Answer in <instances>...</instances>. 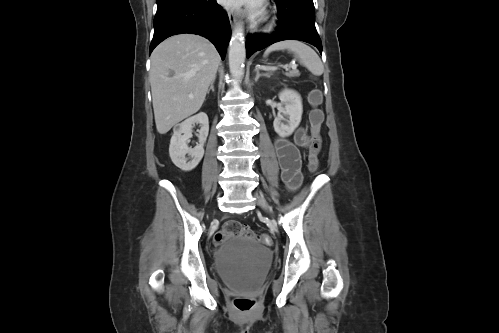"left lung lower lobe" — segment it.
Wrapping results in <instances>:
<instances>
[{"instance_id": "1", "label": "left lung lower lobe", "mask_w": 499, "mask_h": 333, "mask_svg": "<svg viewBox=\"0 0 499 333\" xmlns=\"http://www.w3.org/2000/svg\"><path fill=\"white\" fill-rule=\"evenodd\" d=\"M278 8V31L273 36L249 35L246 55L283 40H301L312 44L322 54L321 39L315 28L313 0H274Z\"/></svg>"}]
</instances>
